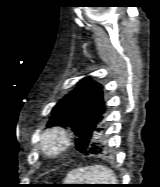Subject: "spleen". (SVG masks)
<instances>
[{
  "mask_svg": "<svg viewBox=\"0 0 160 187\" xmlns=\"http://www.w3.org/2000/svg\"><path fill=\"white\" fill-rule=\"evenodd\" d=\"M67 184H115V174L101 165L81 167L72 170L66 178Z\"/></svg>",
  "mask_w": 160,
  "mask_h": 187,
  "instance_id": "3e777b00",
  "label": "spleen"
}]
</instances>
